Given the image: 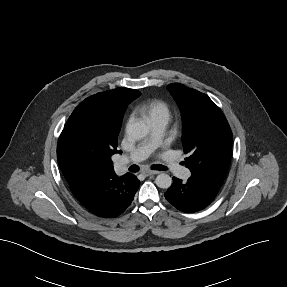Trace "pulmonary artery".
Masks as SVG:
<instances>
[{
    "label": "pulmonary artery",
    "instance_id": "1",
    "mask_svg": "<svg viewBox=\"0 0 287 287\" xmlns=\"http://www.w3.org/2000/svg\"><path fill=\"white\" fill-rule=\"evenodd\" d=\"M150 124L149 137L141 142L128 156L118 162V169H123L130 163H137L147 158L154 148L162 145L166 123L163 121H152ZM167 169L174 175L181 178L189 177V170L180 166L176 161L169 160L165 163Z\"/></svg>",
    "mask_w": 287,
    "mask_h": 287
}]
</instances>
